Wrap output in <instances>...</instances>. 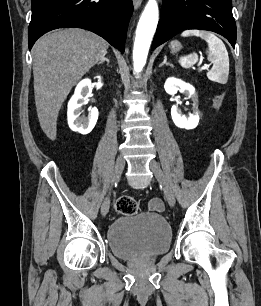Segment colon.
I'll use <instances>...</instances> for the list:
<instances>
[{
  "label": "colon",
  "instance_id": "5ec220e1",
  "mask_svg": "<svg viewBox=\"0 0 261 306\" xmlns=\"http://www.w3.org/2000/svg\"><path fill=\"white\" fill-rule=\"evenodd\" d=\"M224 97V93H220L214 97L213 105L216 109H220L222 107ZM116 209L123 215H133L138 210V204L132 196L123 195L117 199Z\"/></svg>",
  "mask_w": 261,
  "mask_h": 306
}]
</instances>
